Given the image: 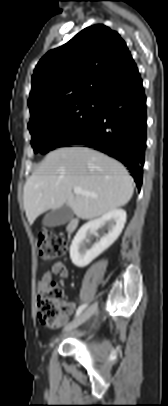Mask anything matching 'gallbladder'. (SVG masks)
<instances>
[{"label":"gallbladder","mask_w":168,"mask_h":406,"mask_svg":"<svg viewBox=\"0 0 168 406\" xmlns=\"http://www.w3.org/2000/svg\"><path fill=\"white\" fill-rule=\"evenodd\" d=\"M73 218L72 209L64 204L60 208L51 210L43 218V225L48 227H55L64 225Z\"/></svg>","instance_id":"1"}]
</instances>
